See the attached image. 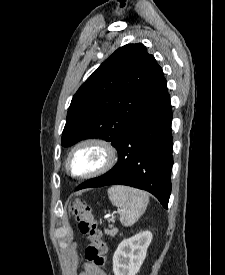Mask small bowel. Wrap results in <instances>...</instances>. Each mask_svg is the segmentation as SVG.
I'll return each instance as SVG.
<instances>
[{
    "mask_svg": "<svg viewBox=\"0 0 225 275\" xmlns=\"http://www.w3.org/2000/svg\"><path fill=\"white\" fill-rule=\"evenodd\" d=\"M79 275H106V273L100 268L95 267L93 264L86 263L83 271H81Z\"/></svg>",
    "mask_w": 225,
    "mask_h": 275,
    "instance_id": "obj_1",
    "label": "small bowel"
}]
</instances>
